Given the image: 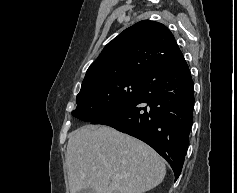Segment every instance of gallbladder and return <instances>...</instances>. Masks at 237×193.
<instances>
[{
	"label": "gallbladder",
	"instance_id": "bac80fb5",
	"mask_svg": "<svg viewBox=\"0 0 237 193\" xmlns=\"http://www.w3.org/2000/svg\"><path fill=\"white\" fill-rule=\"evenodd\" d=\"M78 193H95V191L89 187V188H85V189L78 191Z\"/></svg>",
	"mask_w": 237,
	"mask_h": 193
}]
</instances>
